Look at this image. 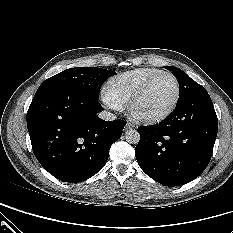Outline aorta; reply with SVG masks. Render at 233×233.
Masks as SVG:
<instances>
[{"label": "aorta", "instance_id": "aorta-1", "mask_svg": "<svg viewBox=\"0 0 233 233\" xmlns=\"http://www.w3.org/2000/svg\"><path fill=\"white\" fill-rule=\"evenodd\" d=\"M125 139L130 144H137L140 140V134L135 129H129L125 132Z\"/></svg>", "mask_w": 233, "mask_h": 233}]
</instances>
